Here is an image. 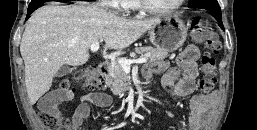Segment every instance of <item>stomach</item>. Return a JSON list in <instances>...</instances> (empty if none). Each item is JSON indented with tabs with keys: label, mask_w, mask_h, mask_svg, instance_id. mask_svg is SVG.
I'll return each mask as SVG.
<instances>
[{
	"label": "stomach",
	"mask_w": 257,
	"mask_h": 130,
	"mask_svg": "<svg viewBox=\"0 0 257 130\" xmlns=\"http://www.w3.org/2000/svg\"><path fill=\"white\" fill-rule=\"evenodd\" d=\"M187 37V28L184 22L175 15L159 18L149 29V39L158 49L173 52L179 49Z\"/></svg>",
	"instance_id": "0dacf381"
}]
</instances>
